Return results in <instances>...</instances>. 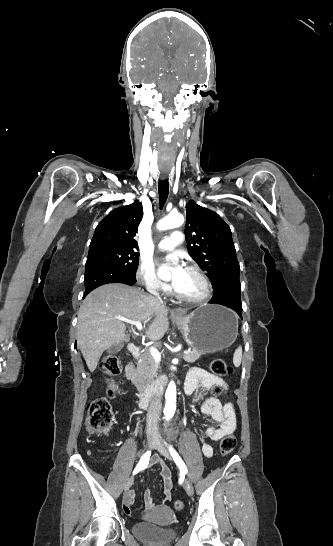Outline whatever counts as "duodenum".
Instances as JSON below:
<instances>
[{
	"instance_id": "obj_1",
	"label": "duodenum",
	"mask_w": 333,
	"mask_h": 546,
	"mask_svg": "<svg viewBox=\"0 0 333 546\" xmlns=\"http://www.w3.org/2000/svg\"><path fill=\"white\" fill-rule=\"evenodd\" d=\"M126 355L130 359H136L140 355L138 347L133 344L128 345ZM125 376L128 380H132L134 376V370L131 364H127L125 367ZM168 380L166 378H160L149 389H141L137 392V403L140 407H146L149 404H156L160 401L164 390L167 386Z\"/></svg>"
}]
</instances>
